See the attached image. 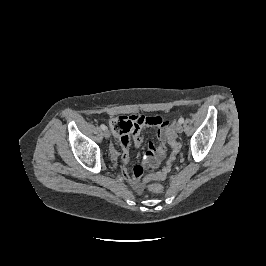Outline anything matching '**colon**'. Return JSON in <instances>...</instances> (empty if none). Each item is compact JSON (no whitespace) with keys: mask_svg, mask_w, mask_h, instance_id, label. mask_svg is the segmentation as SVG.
Returning <instances> with one entry per match:
<instances>
[{"mask_svg":"<svg viewBox=\"0 0 266 266\" xmlns=\"http://www.w3.org/2000/svg\"><path fill=\"white\" fill-rule=\"evenodd\" d=\"M168 143L171 147V154L162 168L158 172H148L144 178L145 182L163 180L167 177L168 173L171 171L172 165L176 159L177 154L180 151V144L176 139L173 128H169L167 131ZM148 189L154 193H161L163 191V186L158 182H153L148 185Z\"/></svg>","mask_w":266,"mask_h":266,"instance_id":"obj_1","label":"colon"}]
</instances>
